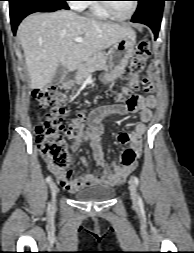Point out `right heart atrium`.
<instances>
[{
    "label": "right heart atrium",
    "instance_id": "right-heart-atrium-1",
    "mask_svg": "<svg viewBox=\"0 0 194 253\" xmlns=\"http://www.w3.org/2000/svg\"><path fill=\"white\" fill-rule=\"evenodd\" d=\"M86 0H72L71 7L76 10H82L86 7Z\"/></svg>",
    "mask_w": 194,
    "mask_h": 253
}]
</instances>
